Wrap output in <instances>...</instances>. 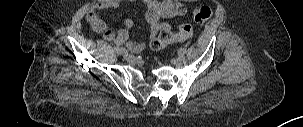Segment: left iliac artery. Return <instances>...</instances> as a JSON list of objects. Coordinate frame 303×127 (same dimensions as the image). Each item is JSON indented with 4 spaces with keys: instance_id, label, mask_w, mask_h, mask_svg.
<instances>
[{
    "instance_id": "1",
    "label": "left iliac artery",
    "mask_w": 303,
    "mask_h": 127,
    "mask_svg": "<svg viewBox=\"0 0 303 127\" xmlns=\"http://www.w3.org/2000/svg\"><path fill=\"white\" fill-rule=\"evenodd\" d=\"M186 52H187L186 48H184V47H181L178 51L179 55H184V54H186Z\"/></svg>"
}]
</instances>
